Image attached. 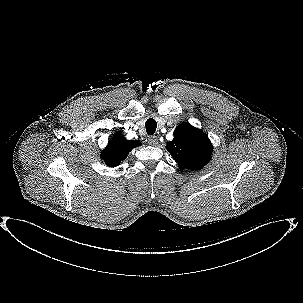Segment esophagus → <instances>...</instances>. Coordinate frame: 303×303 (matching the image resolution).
I'll use <instances>...</instances> for the list:
<instances>
[{"instance_id":"1","label":"esophagus","mask_w":303,"mask_h":303,"mask_svg":"<svg viewBox=\"0 0 303 303\" xmlns=\"http://www.w3.org/2000/svg\"><path fill=\"white\" fill-rule=\"evenodd\" d=\"M148 143H149L150 145L155 146V145L158 144V138H157L156 136H149V137H148Z\"/></svg>"}]
</instances>
